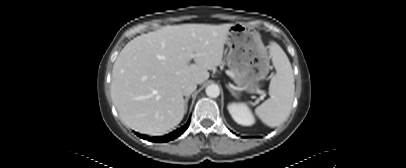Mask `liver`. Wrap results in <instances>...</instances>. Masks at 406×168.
Returning <instances> with one entry per match:
<instances>
[{
  "label": "liver",
  "mask_w": 406,
  "mask_h": 168,
  "mask_svg": "<svg viewBox=\"0 0 406 168\" xmlns=\"http://www.w3.org/2000/svg\"><path fill=\"white\" fill-rule=\"evenodd\" d=\"M231 26H165L128 42L114 62L111 82L122 122L152 136L177 126L185 114L183 85L204 83L208 70L221 64Z\"/></svg>",
  "instance_id": "obj_1"
}]
</instances>
